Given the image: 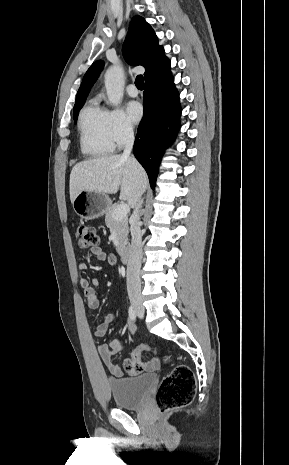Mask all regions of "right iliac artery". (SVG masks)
Masks as SVG:
<instances>
[{"label":"right iliac artery","mask_w":289,"mask_h":465,"mask_svg":"<svg viewBox=\"0 0 289 465\" xmlns=\"http://www.w3.org/2000/svg\"><path fill=\"white\" fill-rule=\"evenodd\" d=\"M128 313H129L130 319L132 321H135L136 320V312H135V310H134V308L132 306L129 307Z\"/></svg>","instance_id":"right-iliac-artery-1"}]
</instances>
